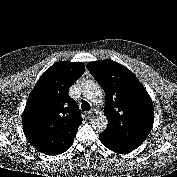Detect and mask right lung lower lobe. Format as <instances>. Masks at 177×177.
Returning <instances> with one entry per match:
<instances>
[{
	"instance_id": "obj_1",
	"label": "right lung lower lobe",
	"mask_w": 177,
	"mask_h": 177,
	"mask_svg": "<svg viewBox=\"0 0 177 177\" xmlns=\"http://www.w3.org/2000/svg\"><path fill=\"white\" fill-rule=\"evenodd\" d=\"M72 141H73V140H72ZM72 141H70V143H67L62 149H60L59 151H56V152H54V153H55V154H58V153H61V152L66 151V150L71 146ZM39 148H41V147H39ZM52 154H53V153H52Z\"/></svg>"
}]
</instances>
